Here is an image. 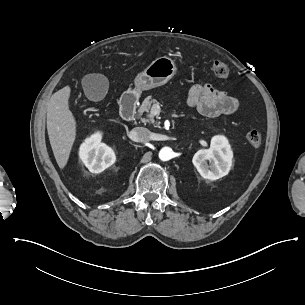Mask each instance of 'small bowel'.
I'll return each instance as SVG.
<instances>
[{
    "mask_svg": "<svg viewBox=\"0 0 305 305\" xmlns=\"http://www.w3.org/2000/svg\"><path fill=\"white\" fill-rule=\"evenodd\" d=\"M188 104L206 117L232 114L239 107L236 98L205 82H197L191 87Z\"/></svg>",
    "mask_w": 305,
    "mask_h": 305,
    "instance_id": "obj_1",
    "label": "small bowel"
}]
</instances>
